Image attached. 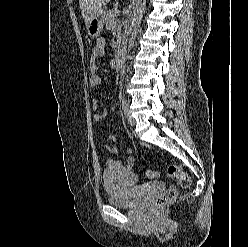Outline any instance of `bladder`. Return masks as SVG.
Instances as JSON below:
<instances>
[{"mask_svg": "<svg viewBox=\"0 0 248 247\" xmlns=\"http://www.w3.org/2000/svg\"><path fill=\"white\" fill-rule=\"evenodd\" d=\"M103 183L108 195V202L113 206L132 207L140 198L137 195L140 187L134 174L128 169L114 166L105 170Z\"/></svg>", "mask_w": 248, "mask_h": 247, "instance_id": "31cf9c89", "label": "bladder"}]
</instances>
